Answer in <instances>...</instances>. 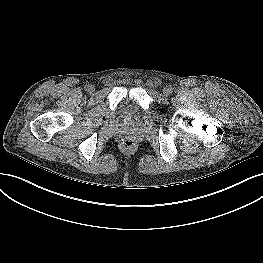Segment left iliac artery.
Masks as SVG:
<instances>
[{
    "instance_id": "1",
    "label": "left iliac artery",
    "mask_w": 263,
    "mask_h": 263,
    "mask_svg": "<svg viewBox=\"0 0 263 263\" xmlns=\"http://www.w3.org/2000/svg\"><path fill=\"white\" fill-rule=\"evenodd\" d=\"M169 90H170V93H172V88H169Z\"/></svg>"
}]
</instances>
